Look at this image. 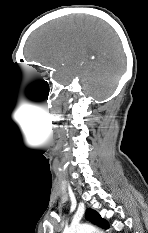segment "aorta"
Returning a JSON list of instances; mask_svg holds the SVG:
<instances>
[{"mask_svg": "<svg viewBox=\"0 0 148 233\" xmlns=\"http://www.w3.org/2000/svg\"><path fill=\"white\" fill-rule=\"evenodd\" d=\"M63 233H104V232L90 224H78L66 228L63 231Z\"/></svg>", "mask_w": 148, "mask_h": 233, "instance_id": "762f6f07", "label": "aorta"}]
</instances>
